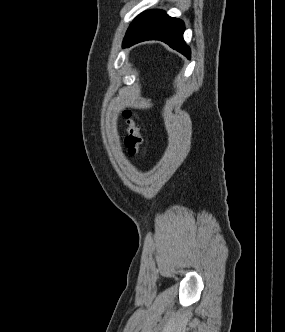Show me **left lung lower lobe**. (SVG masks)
I'll list each match as a JSON object with an SVG mask.
<instances>
[{
	"label": "left lung lower lobe",
	"mask_w": 285,
	"mask_h": 332,
	"mask_svg": "<svg viewBox=\"0 0 285 332\" xmlns=\"http://www.w3.org/2000/svg\"><path fill=\"white\" fill-rule=\"evenodd\" d=\"M184 29L183 21L169 17L163 11H146L131 23L124 38L123 47L145 40H161L190 58V48L183 40Z\"/></svg>",
	"instance_id": "obj_1"
}]
</instances>
